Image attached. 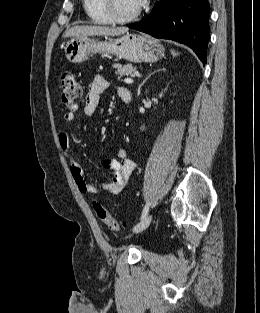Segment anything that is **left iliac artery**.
<instances>
[{
  "label": "left iliac artery",
  "mask_w": 260,
  "mask_h": 313,
  "mask_svg": "<svg viewBox=\"0 0 260 313\" xmlns=\"http://www.w3.org/2000/svg\"><path fill=\"white\" fill-rule=\"evenodd\" d=\"M149 206H150V203H147L143 209V212H142V215H141V220L144 219L147 214H148V211H149Z\"/></svg>",
  "instance_id": "left-iliac-artery-1"
}]
</instances>
